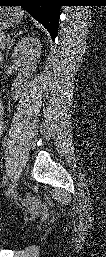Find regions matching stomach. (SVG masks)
Returning a JSON list of instances; mask_svg holds the SVG:
<instances>
[{
    "mask_svg": "<svg viewBox=\"0 0 106 257\" xmlns=\"http://www.w3.org/2000/svg\"><path fill=\"white\" fill-rule=\"evenodd\" d=\"M23 13L18 8L2 7L0 9V28L7 29L20 22Z\"/></svg>",
    "mask_w": 106,
    "mask_h": 257,
    "instance_id": "1",
    "label": "stomach"
}]
</instances>
